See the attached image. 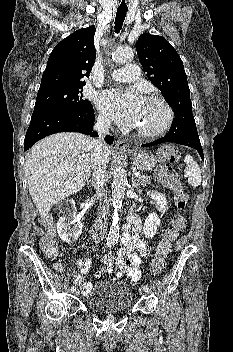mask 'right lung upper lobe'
Segmentation results:
<instances>
[{"label": "right lung upper lobe", "instance_id": "obj_1", "mask_svg": "<svg viewBox=\"0 0 233 352\" xmlns=\"http://www.w3.org/2000/svg\"><path fill=\"white\" fill-rule=\"evenodd\" d=\"M95 27L79 29L59 42L51 52L40 87L85 85L96 58Z\"/></svg>", "mask_w": 233, "mask_h": 352}]
</instances>
